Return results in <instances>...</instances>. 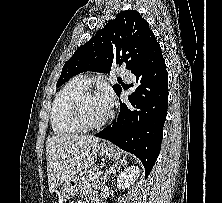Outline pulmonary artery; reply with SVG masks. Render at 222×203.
Masks as SVG:
<instances>
[{"mask_svg":"<svg viewBox=\"0 0 222 203\" xmlns=\"http://www.w3.org/2000/svg\"><path fill=\"white\" fill-rule=\"evenodd\" d=\"M116 74L118 76L126 78V79H128L130 77V72L127 69L123 68V67L117 68L116 69ZM74 81L77 82L80 86L87 89L91 85L92 78L90 77L89 74L83 73V74H80V75L76 76L74 78Z\"/></svg>","mask_w":222,"mask_h":203,"instance_id":"e3ab8cb5","label":"pulmonary artery"}]
</instances>
